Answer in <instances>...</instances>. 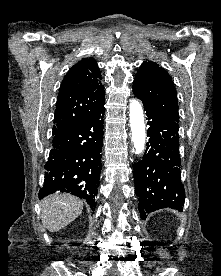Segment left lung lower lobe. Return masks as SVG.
<instances>
[{
  "label": "left lung lower lobe",
  "mask_w": 221,
  "mask_h": 276,
  "mask_svg": "<svg viewBox=\"0 0 221 276\" xmlns=\"http://www.w3.org/2000/svg\"><path fill=\"white\" fill-rule=\"evenodd\" d=\"M145 154L134 165L136 195L141 218L149 212L170 207L182 211L185 192L181 182L178 122L159 119L146 112Z\"/></svg>",
  "instance_id": "left-lung-lower-lobe-1"
}]
</instances>
